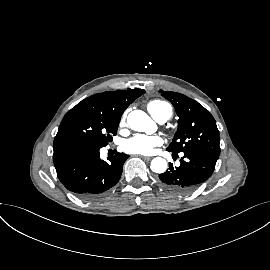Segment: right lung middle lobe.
Returning <instances> with one entry per match:
<instances>
[{
    "instance_id": "dd1d6c3e",
    "label": "right lung middle lobe",
    "mask_w": 270,
    "mask_h": 270,
    "mask_svg": "<svg viewBox=\"0 0 270 270\" xmlns=\"http://www.w3.org/2000/svg\"><path fill=\"white\" fill-rule=\"evenodd\" d=\"M120 118L101 111L87 98L64 116L54 140L77 139L104 147L117 134Z\"/></svg>"
}]
</instances>
